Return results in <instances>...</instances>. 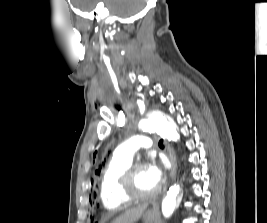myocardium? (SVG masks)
<instances>
[{
    "label": "myocardium",
    "instance_id": "obj_1",
    "mask_svg": "<svg viewBox=\"0 0 267 223\" xmlns=\"http://www.w3.org/2000/svg\"><path fill=\"white\" fill-rule=\"evenodd\" d=\"M146 167L144 161H136L131 163V165L123 172L120 179V188L121 193L125 201L134 202V201H147L155 198L159 193V188L151 193H139L135 190L134 187V177L136 172Z\"/></svg>",
    "mask_w": 267,
    "mask_h": 223
}]
</instances>
